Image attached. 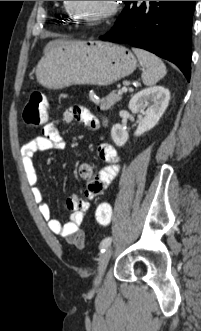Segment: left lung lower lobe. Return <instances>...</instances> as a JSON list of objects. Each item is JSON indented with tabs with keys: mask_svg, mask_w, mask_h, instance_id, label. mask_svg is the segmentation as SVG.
Segmentation results:
<instances>
[{
	"mask_svg": "<svg viewBox=\"0 0 201 331\" xmlns=\"http://www.w3.org/2000/svg\"><path fill=\"white\" fill-rule=\"evenodd\" d=\"M124 2L114 27L101 39L155 53L176 64L189 81L195 1Z\"/></svg>",
	"mask_w": 201,
	"mask_h": 331,
	"instance_id": "obj_1",
	"label": "left lung lower lobe"
}]
</instances>
